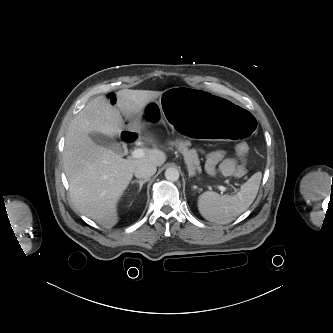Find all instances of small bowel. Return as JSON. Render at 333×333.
Returning a JSON list of instances; mask_svg holds the SVG:
<instances>
[{"mask_svg":"<svg viewBox=\"0 0 333 333\" xmlns=\"http://www.w3.org/2000/svg\"><path fill=\"white\" fill-rule=\"evenodd\" d=\"M107 100L112 104H117V96L114 93L107 95ZM219 164V170L224 174H230L234 170L235 161L233 159L223 160V153L220 151L212 152L208 155V168L210 171H214Z\"/></svg>","mask_w":333,"mask_h":333,"instance_id":"c3829d8e","label":"small bowel"}]
</instances>
